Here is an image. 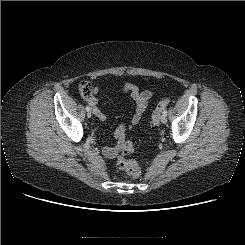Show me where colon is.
<instances>
[{
  "label": "colon",
  "mask_w": 245,
  "mask_h": 245,
  "mask_svg": "<svg viewBox=\"0 0 245 245\" xmlns=\"http://www.w3.org/2000/svg\"><path fill=\"white\" fill-rule=\"evenodd\" d=\"M81 96L88 98L92 94V87L87 81H82L78 85ZM170 99L161 100L151 114L150 123L155 126L158 124L162 111L169 105ZM121 155L118 158V166L132 178H137L141 174L138 163L132 158L134 152L133 144L123 139L120 144Z\"/></svg>",
  "instance_id": "obj_1"
}]
</instances>
